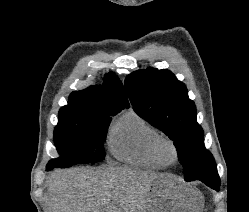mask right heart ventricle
Instances as JSON below:
<instances>
[{
    "instance_id": "right-heart-ventricle-1",
    "label": "right heart ventricle",
    "mask_w": 249,
    "mask_h": 212,
    "mask_svg": "<svg viewBox=\"0 0 249 212\" xmlns=\"http://www.w3.org/2000/svg\"><path fill=\"white\" fill-rule=\"evenodd\" d=\"M161 134L134 109L125 111L111 125L107 147L111 155L124 163L150 170L164 169L153 155L152 145Z\"/></svg>"
}]
</instances>
